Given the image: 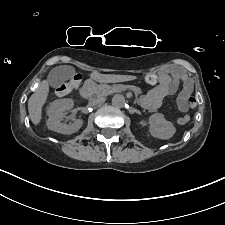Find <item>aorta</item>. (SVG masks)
Here are the masks:
<instances>
[{"mask_svg":"<svg viewBox=\"0 0 225 225\" xmlns=\"http://www.w3.org/2000/svg\"><path fill=\"white\" fill-rule=\"evenodd\" d=\"M125 104V97L122 94H116L112 98V105L116 108H122Z\"/></svg>","mask_w":225,"mask_h":225,"instance_id":"aorta-1","label":"aorta"}]
</instances>
